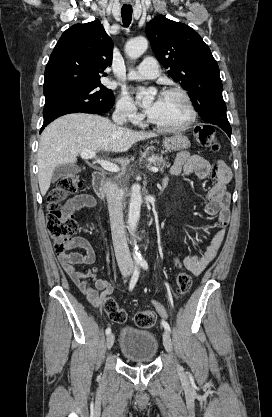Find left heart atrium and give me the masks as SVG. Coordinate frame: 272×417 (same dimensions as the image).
I'll return each instance as SVG.
<instances>
[{
  "mask_svg": "<svg viewBox=\"0 0 272 417\" xmlns=\"http://www.w3.org/2000/svg\"><path fill=\"white\" fill-rule=\"evenodd\" d=\"M161 102V97L157 98L150 106L146 108V113L152 117L158 110Z\"/></svg>",
  "mask_w": 272,
  "mask_h": 417,
  "instance_id": "39dd6f15",
  "label": "left heart atrium"
}]
</instances>
